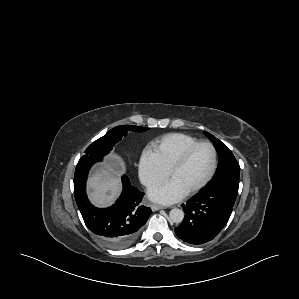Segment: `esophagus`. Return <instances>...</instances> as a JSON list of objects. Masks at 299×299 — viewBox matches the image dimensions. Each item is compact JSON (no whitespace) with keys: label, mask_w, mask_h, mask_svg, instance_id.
I'll use <instances>...</instances> for the list:
<instances>
[{"label":"esophagus","mask_w":299,"mask_h":299,"mask_svg":"<svg viewBox=\"0 0 299 299\" xmlns=\"http://www.w3.org/2000/svg\"><path fill=\"white\" fill-rule=\"evenodd\" d=\"M163 208H164L163 206L158 205V204H153V205H151V209H152L153 211H157V210H160V209H163Z\"/></svg>","instance_id":"esophagus-1"}]
</instances>
